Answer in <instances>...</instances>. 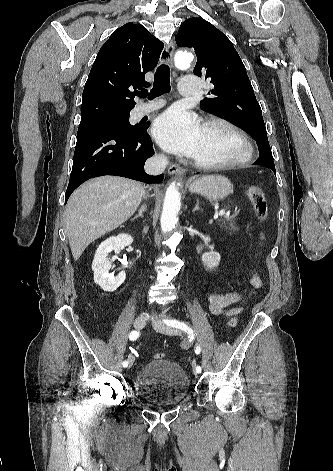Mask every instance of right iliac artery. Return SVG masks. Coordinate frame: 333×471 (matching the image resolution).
<instances>
[{
	"mask_svg": "<svg viewBox=\"0 0 333 471\" xmlns=\"http://www.w3.org/2000/svg\"><path fill=\"white\" fill-rule=\"evenodd\" d=\"M138 337H139V332L136 330L131 331V333L129 334V339L132 341L136 340ZM128 364H129L128 361H124L122 363L123 367H127Z\"/></svg>",
	"mask_w": 333,
	"mask_h": 471,
	"instance_id": "82829eb1",
	"label": "right iliac artery"
}]
</instances>
